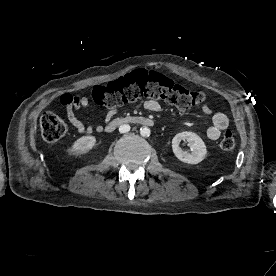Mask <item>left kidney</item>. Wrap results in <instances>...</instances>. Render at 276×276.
Segmentation results:
<instances>
[{"instance_id":"obj_1","label":"left kidney","mask_w":276,"mask_h":276,"mask_svg":"<svg viewBox=\"0 0 276 276\" xmlns=\"http://www.w3.org/2000/svg\"><path fill=\"white\" fill-rule=\"evenodd\" d=\"M187 141L191 149V153L183 151L179 147L181 141ZM172 149L175 156L182 162L188 164H198L204 160L207 149L203 140L193 132H181L174 136L172 139Z\"/></svg>"}]
</instances>
